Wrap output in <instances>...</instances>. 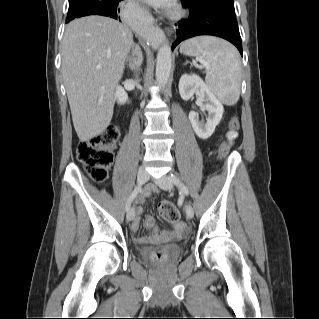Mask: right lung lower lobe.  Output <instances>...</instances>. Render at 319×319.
Listing matches in <instances>:
<instances>
[{
    "instance_id": "obj_1",
    "label": "right lung lower lobe",
    "mask_w": 319,
    "mask_h": 319,
    "mask_svg": "<svg viewBox=\"0 0 319 319\" xmlns=\"http://www.w3.org/2000/svg\"><path fill=\"white\" fill-rule=\"evenodd\" d=\"M120 1L121 0L99 1L95 3L94 5L90 6L89 8H86L80 11L79 13H77L74 18H79L83 16H88V15H102V16H107L114 19H117V18L120 19V16H119L120 9L118 8V3ZM70 20L72 19L66 18V23H68Z\"/></svg>"
}]
</instances>
